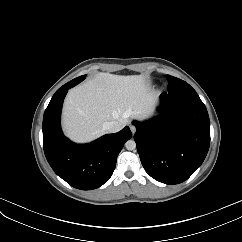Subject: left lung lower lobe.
<instances>
[{
    "label": "left lung lower lobe",
    "mask_w": 242,
    "mask_h": 242,
    "mask_svg": "<svg viewBox=\"0 0 242 242\" xmlns=\"http://www.w3.org/2000/svg\"><path fill=\"white\" fill-rule=\"evenodd\" d=\"M160 116L137 122L134 139L141 163L155 180L178 184L204 161L210 144L207 109L194 92H165Z\"/></svg>",
    "instance_id": "0a47b994"
}]
</instances>
